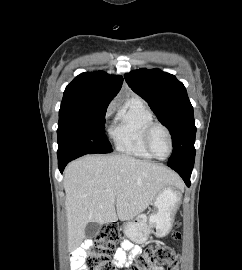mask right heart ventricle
Listing matches in <instances>:
<instances>
[{"label":"right heart ventricle","instance_id":"right-heart-ventricle-1","mask_svg":"<svg viewBox=\"0 0 242 270\" xmlns=\"http://www.w3.org/2000/svg\"><path fill=\"white\" fill-rule=\"evenodd\" d=\"M153 114L144 102L132 98L117 112L110 134L116 149L124 154L142 159H152L145 148L143 137Z\"/></svg>","mask_w":242,"mask_h":270}]
</instances>
